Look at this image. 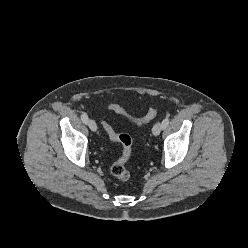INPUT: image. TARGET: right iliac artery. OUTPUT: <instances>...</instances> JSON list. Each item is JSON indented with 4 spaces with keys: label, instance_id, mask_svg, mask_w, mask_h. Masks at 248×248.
Wrapping results in <instances>:
<instances>
[{
    "label": "right iliac artery",
    "instance_id": "1",
    "mask_svg": "<svg viewBox=\"0 0 248 248\" xmlns=\"http://www.w3.org/2000/svg\"><path fill=\"white\" fill-rule=\"evenodd\" d=\"M81 120H82L83 123L87 124V122H88V116H87V114L82 113L81 114Z\"/></svg>",
    "mask_w": 248,
    "mask_h": 248
}]
</instances>
